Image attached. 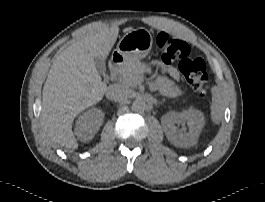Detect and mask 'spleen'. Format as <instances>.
I'll use <instances>...</instances> for the list:
<instances>
[{
  "label": "spleen",
  "mask_w": 265,
  "mask_h": 202,
  "mask_svg": "<svg viewBox=\"0 0 265 202\" xmlns=\"http://www.w3.org/2000/svg\"><path fill=\"white\" fill-rule=\"evenodd\" d=\"M223 117L222 97L218 87L212 88V105H211V120L214 124H219Z\"/></svg>",
  "instance_id": "3e777b00"
}]
</instances>
